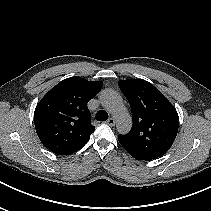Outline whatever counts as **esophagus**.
<instances>
[{
    "label": "esophagus",
    "instance_id": "esophagus-1",
    "mask_svg": "<svg viewBox=\"0 0 211 211\" xmlns=\"http://www.w3.org/2000/svg\"><path fill=\"white\" fill-rule=\"evenodd\" d=\"M108 125H110V126H114L115 125V120L113 119V118H110V119H108L107 120V122H106Z\"/></svg>",
    "mask_w": 211,
    "mask_h": 211
}]
</instances>
